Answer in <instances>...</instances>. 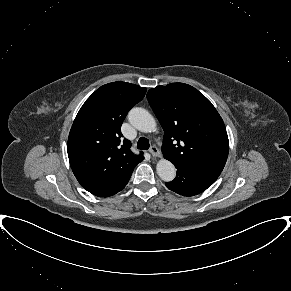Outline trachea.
<instances>
[{"label": "trachea", "mask_w": 291, "mask_h": 291, "mask_svg": "<svg viewBox=\"0 0 291 291\" xmlns=\"http://www.w3.org/2000/svg\"><path fill=\"white\" fill-rule=\"evenodd\" d=\"M150 147L149 140L145 137H141L138 140L137 148L140 150H148Z\"/></svg>", "instance_id": "obj_1"}]
</instances>
